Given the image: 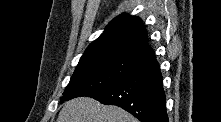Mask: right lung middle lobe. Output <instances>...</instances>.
Returning a JSON list of instances; mask_svg holds the SVG:
<instances>
[{
	"label": "right lung middle lobe",
	"instance_id": "obj_1",
	"mask_svg": "<svg viewBox=\"0 0 221 122\" xmlns=\"http://www.w3.org/2000/svg\"><path fill=\"white\" fill-rule=\"evenodd\" d=\"M136 62V60L121 57H105L78 64L61 102L88 96L109 87L125 76Z\"/></svg>",
	"mask_w": 221,
	"mask_h": 122
}]
</instances>
